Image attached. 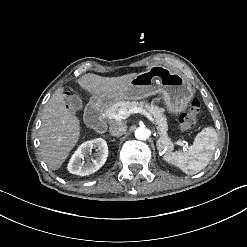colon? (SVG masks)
Instances as JSON below:
<instances>
[{
	"label": "colon",
	"mask_w": 247,
	"mask_h": 247,
	"mask_svg": "<svg viewBox=\"0 0 247 247\" xmlns=\"http://www.w3.org/2000/svg\"><path fill=\"white\" fill-rule=\"evenodd\" d=\"M199 109V100L193 98L189 104V112L183 113L179 116V123L185 128L191 127L197 120V114L199 112Z\"/></svg>",
	"instance_id": "obj_1"
}]
</instances>
